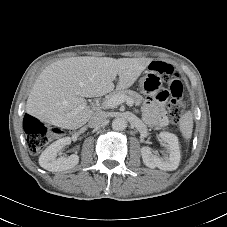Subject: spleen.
Returning <instances> with one entry per match:
<instances>
[{"instance_id":"spleen-1","label":"spleen","mask_w":227,"mask_h":227,"mask_svg":"<svg viewBox=\"0 0 227 227\" xmlns=\"http://www.w3.org/2000/svg\"><path fill=\"white\" fill-rule=\"evenodd\" d=\"M179 128L185 139H190L193 131V114L191 111L184 113L179 120Z\"/></svg>"}]
</instances>
